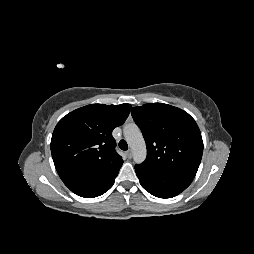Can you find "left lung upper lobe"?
Listing matches in <instances>:
<instances>
[{
    "label": "left lung upper lobe",
    "mask_w": 254,
    "mask_h": 254,
    "mask_svg": "<svg viewBox=\"0 0 254 254\" xmlns=\"http://www.w3.org/2000/svg\"><path fill=\"white\" fill-rule=\"evenodd\" d=\"M131 115L147 147L145 167L167 175L193 180L203 153L195 120L185 111L163 103L134 107Z\"/></svg>",
    "instance_id": "obj_1"
}]
</instances>
